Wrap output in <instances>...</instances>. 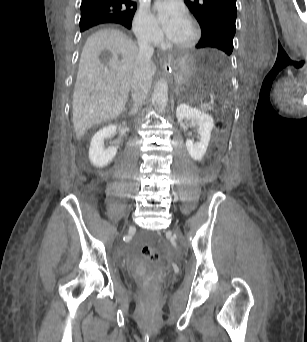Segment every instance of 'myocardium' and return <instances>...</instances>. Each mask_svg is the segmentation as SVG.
Returning a JSON list of instances; mask_svg holds the SVG:
<instances>
[{"label":"myocardium","instance_id":"f54148a6","mask_svg":"<svg viewBox=\"0 0 307 342\" xmlns=\"http://www.w3.org/2000/svg\"><path fill=\"white\" fill-rule=\"evenodd\" d=\"M198 40H199V32L197 31V29L195 28L193 24H190L189 25V38L183 46L179 47V49L181 51H188L196 45Z\"/></svg>","mask_w":307,"mask_h":342}]
</instances>
